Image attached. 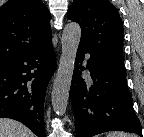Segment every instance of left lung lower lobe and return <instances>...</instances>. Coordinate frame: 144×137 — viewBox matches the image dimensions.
<instances>
[{
	"label": "left lung lower lobe",
	"mask_w": 144,
	"mask_h": 137,
	"mask_svg": "<svg viewBox=\"0 0 144 137\" xmlns=\"http://www.w3.org/2000/svg\"><path fill=\"white\" fill-rule=\"evenodd\" d=\"M84 53L89 52L79 46L70 87L76 137H92L112 130L142 136L141 124L132 106L125 68L89 53L87 67L93 82L87 84L81 78L84 67L79 65Z\"/></svg>",
	"instance_id": "obj_1"
}]
</instances>
